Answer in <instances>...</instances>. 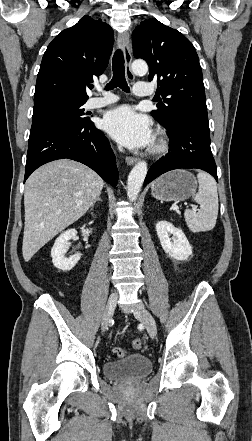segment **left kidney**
<instances>
[{
  "label": "left kidney",
  "instance_id": "5707ae66",
  "mask_svg": "<svg viewBox=\"0 0 252 441\" xmlns=\"http://www.w3.org/2000/svg\"><path fill=\"white\" fill-rule=\"evenodd\" d=\"M156 232L163 250L170 257L176 260H186L192 254V247L185 234L170 222L165 220L158 222Z\"/></svg>",
  "mask_w": 252,
  "mask_h": 441
}]
</instances>
